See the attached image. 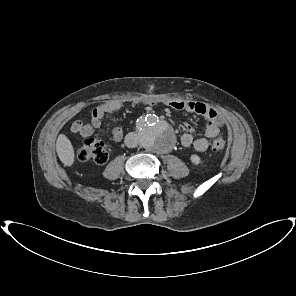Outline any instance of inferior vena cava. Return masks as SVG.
Listing matches in <instances>:
<instances>
[{
    "label": "inferior vena cava",
    "instance_id": "1",
    "mask_svg": "<svg viewBox=\"0 0 296 296\" xmlns=\"http://www.w3.org/2000/svg\"><path fill=\"white\" fill-rule=\"evenodd\" d=\"M124 143L128 148H134L138 145V136L134 132H130L125 136Z\"/></svg>",
    "mask_w": 296,
    "mask_h": 296
}]
</instances>
